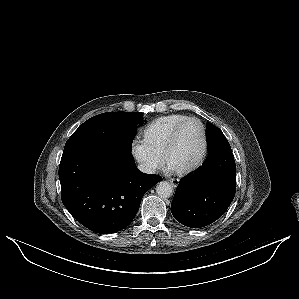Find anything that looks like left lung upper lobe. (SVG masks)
<instances>
[{
  "mask_svg": "<svg viewBox=\"0 0 299 299\" xmlns=\"http://www.w3.org/2000/svg\"><path fill=\"white\" fill-rule=\"evenodd\" d=\"M206 132L209 148L231 150L226 137L218 127L214 126L212 123H207Z\"/></svg>",
  "mask_w": 299,
  "mask_h": 299,
  "instance_id": "5c2ea615",
  "label": "left lung upper lobe"
}]
</instances>
